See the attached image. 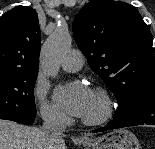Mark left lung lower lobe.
I'll list each match as a JSON object with an SVG mask.
<instances>
[{"label":"left lung lower lobe","instance_id":"0a47b994","mask_svg":"<svg viewBox=\"0 0 155 149\" xmlns=\"http://www.w3.org/2000/svg\"><path fill=\"white\" fill-rule=\"evenodd\" d=\"M143 124L155 125V88L132 97L126 106L119 105L114 119L93 132Z\"/></svg>","mask_w":155,"mask_h":149}]
</instances>
